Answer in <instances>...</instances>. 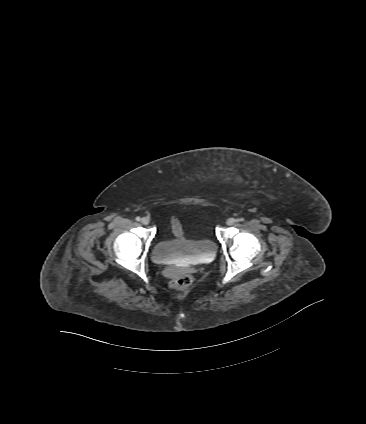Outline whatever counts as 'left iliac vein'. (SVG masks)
<instances>
[{
  "instance_id": "4c4485c4",
  "label": "left iliac vein",
  "mask_w": 366,
  "mask_h": 424,
  "mask_svg": "<svg viewBox=\"0 0 366 424\" xmlns=\"http://www.w3.org/2000/svg\"><path fill=\"white\" fill-rule=\"evenodd\" d=\"M226 223H227V225L231 226V225H234L236 223V220L234 218H229Z\"/></svg>"
}]
</instances>
